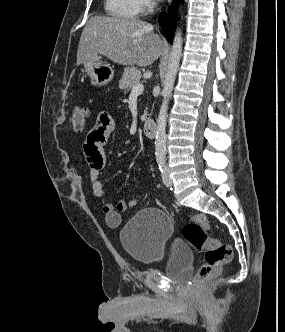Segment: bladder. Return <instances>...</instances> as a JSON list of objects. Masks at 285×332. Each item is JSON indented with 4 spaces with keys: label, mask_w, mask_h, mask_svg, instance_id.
Segmentation results:
<instances>
[{
    "label": "bladder",
    "mask_w": 285,
    "mask_h": 332,
    "mask_svg": "<svg viewBox=\"0 0 285 332\" xmlns=\"http://www.w3.org/2000/svg\"><path fill=\"white\" fill-rule=\"evenodd\" d=\"M172 234L169 216L158 208L149 207L138 211L126 223L120 240L128 255L138 262L153 263L165 258V274L182 281L190 273L194 254L180 240H174L167 250Z\"/></svg>",
    "instance_id": "1"
}]
</instances>
